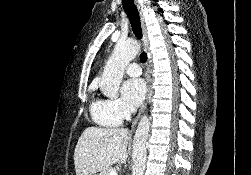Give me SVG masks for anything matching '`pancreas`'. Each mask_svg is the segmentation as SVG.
Instances as JSON below:
<instances>
[{"instance_id": "cf45deb5", "label": "pancreas", "mask_w": 251, "mask_h": 175, "mask_svg": "<svg viewBox=\"0 0 251 175\" xmlns=\"http://www.w3.org/2000/svg\"><path fill=\"white\" fill-rule=\"evenodd\" d=\"M113 167H104V169H101L100 175H109L110 171H112Z\"/></svg>"}]
</instances>
